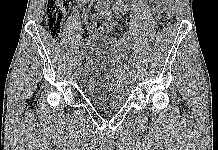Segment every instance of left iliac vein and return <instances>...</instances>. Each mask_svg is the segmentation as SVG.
<instances>
[{
	"mask_svg": "<svg viewBox=\"0 0 218 150\" xmlns=\"http://www.w3.org/2000/svg\"><path fill=\"white\" fill-rule=\"evenodd\" d=\"M130 77H131V78H134V77H135V74H134V73H131V74H130Z\"/></svg>",
	"mask_w": 218,
	"mask_h": 150,
	"instance_id": "obj_1",
	"label": "left iliac vein"
}]
</instances>
